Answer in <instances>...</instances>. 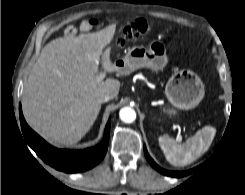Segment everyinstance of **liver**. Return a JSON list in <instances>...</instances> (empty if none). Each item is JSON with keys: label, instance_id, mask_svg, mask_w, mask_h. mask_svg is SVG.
Here are the masks:
<instances>
[{"label": "liver", "instance_id": "obj_1", "mask_svg": "<svg viewBox=\"0 0 245 195\" xmlns=\"http://www.w3.org/2000/svg\"><path fill=\"white\" fill-rule=\"evenodd\" d=\"M115 31L112 24L96 33L57 38L41 50L24 87L22 107L30 127L48 141L77 143L97 119L98 98L117 97L119 81H96L100 61L106 71H119L110 59Z\"/></svg>", "mask_w": 245, "mask_h": 195}]
</instances>
